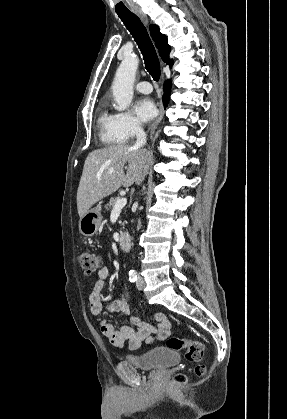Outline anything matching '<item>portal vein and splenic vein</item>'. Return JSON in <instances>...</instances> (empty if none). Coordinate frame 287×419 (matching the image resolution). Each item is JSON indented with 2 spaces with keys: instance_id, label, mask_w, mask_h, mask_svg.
I'll use <instances>...</instances> for the list:
<instances>
[{
  "instance_id": "portal-vein-and-splenic-vein-1",
  "label": "portal vein and splenic vein",
  "mask_w": 287,
  "mask_h": 419,
  "mask_svg": "<svg viewBox=\"0 0 287 419\" xmlns=\"http://www.w3.org/2000/svg\"><path fill=\"white\" fill-rule=\"evenodd\" d=\"M112 174V171H109ZM127 204V199L125 197L117 199L115 205L113 206L112 212L120 211Z\"/></svg>"
}]
</instances>
